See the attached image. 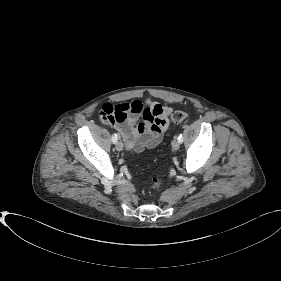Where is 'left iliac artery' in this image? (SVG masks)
<instances>
[{"mask_svg": "<svg viewBox=\"0 0 281 281\" xmlns=\"http://www.w3.org/2000/svg\"><path fill=\"white\" fill-rule=\"evenodd\" d=\"M178 140H179V142H183V136H182V134H180V135L178 136Z\"/></svg>", "mask_w": 281, "mask_h": 281, "instance_id": "left-iliac-artery-1", "label": "left iliac artery"}]
</instances>
